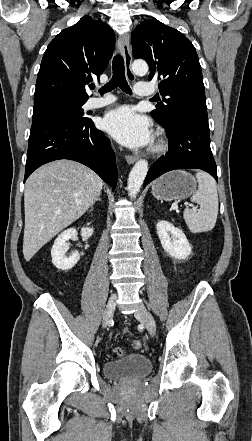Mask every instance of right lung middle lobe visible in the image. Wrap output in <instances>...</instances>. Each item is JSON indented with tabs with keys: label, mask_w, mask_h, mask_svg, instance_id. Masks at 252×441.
Instances as JSON below:
<instances>
[{
	"label": "right lung middle lobe",
	"mask_w": 252,
	"mask_h": 441,
	"mask_svg": "<svg viewBox=\"0 0 252 441\" xmlns=\"http://www.w3.org/2000/svg\"><path fill=\"white\" fill-rule=\"evenodd\" d=\"M86 100L50 99L34 103L33 122L44 119L65 120L72 123L88 120L82 106Z\"/></svg>",
	"instance_id": "obj_1"
}]
</instances>
